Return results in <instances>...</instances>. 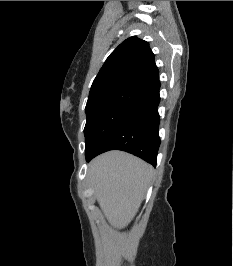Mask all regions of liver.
<instances>
[{
  "instance_id": "1",
  "label": "liver",
  "mask_w": 233,
  "mask_h": 266,
  "mask_svg": "<svg viewBox=\"0 0 233 266\" xmlns=\"http://www.w3.org/2000/svg\"><path fill=\"white\" fill-rule=\"evenodd\" d=\"M152 173L149 164L122 151L104 153L90 162V184L111 226L122 229L133 220Z\"/></svg>"
}]
</instances>
